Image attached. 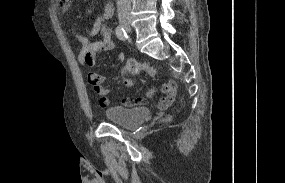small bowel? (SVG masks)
Segmentation results:
<instances>
[{
    "label": "small bowel",
    "mask_w": 285,
    "mask_h": 183,
    "mask_svg": "<svg viewBox=\"0 0 285 183\" xmlns=\"http://www.w3.org/2000/svg\"><path fill=\"white\" fill-rule=\"evenodd\" d=\"M71 0H63L61 6L62 12H67L70 8ZM113 15V6L110 3H106L104 6V11L102 17L97 19L94 26L85 32H76L72 31L70 35L76 39L81 44V50L78 55L79 62L86 67H92L95 65L98 57L107 51L114 49L115 44L112 40V31L109 27L105 26V20L111 18ZM99 31H102L103 38L101 40L91 42L88 39V36H93ZM106 77L103 74L97 72H89L88 80L91 84L95 93L99 96V105L101 107H106L109 105L108 94L110 90L104 86ZM177 90V83L173 80L167 81L160 88V92L163 94V97L159 101L161 108L169 107L175 98ZM155 92L152 89L149 95H152ZM130 98H125L123 103L126 105L127 101Z\"/></svg>",
    "instance_id": "obj_1"
}]
</instances>
